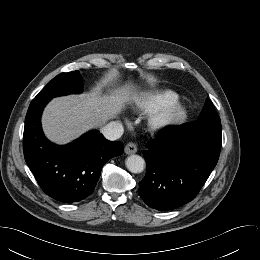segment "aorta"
Listing matches in <instances>:
<instances>
[{"label":"aorta","mask_w":260,"mask_h":260,"mask_svg":"<svg viewBox=\"0 0 260 260\" xmlns=\"http://www.w3.org/2000/svg\"><path fill=\"white\" fill-rule=\"evenodd\" d=\"M126 168L132 173H141L145 168V160L139 155H130L125 161Z\"/></svg>","instance_id":"aorta-1"}]
</instances>
